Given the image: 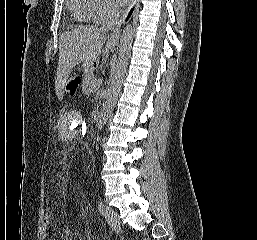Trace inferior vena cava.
I'll list each match as a JSON object with an SVG mask.
<instances>
[{"label": "inferior vena cava", "instance_id": "obj_1", "mask_svg": "<svg viewBox=\"0 0 257 240\" xmlns=\"http://www.w3.org/2000/svg\"><path fill=\"white\" fill-rule=\"evenodd\" d=\"M119 16L120 8L115 4H110L107 8L106 20L101 27L102 30L107 31L116 27L119 22Z\"/></svg>", "mask_w": 257, "mask_h": 240}]
</instances>
